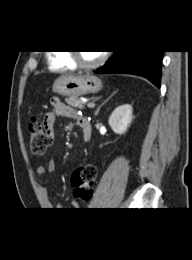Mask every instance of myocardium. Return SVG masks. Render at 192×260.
I'll return each instance as SVG.
<instances>
[{
  "mask_svg": "<svg viewBox=\"0 0 192 260\" xmlns=\"http://www.w3.org/2000/svg\"><path fill=\"white\" fill-rule=\"evenodd\" d=\"M68 54L72 62L75 64V66L84 70H92L98 68L100 65L104 63L107 57L106 53H102L101 56L95 62L85 63L81 59L80 53L78 51L72 50Z\"/></svg>",
  "mask_w": 192,
  "mask_h": 260,
  "instance_id": "f54148a6",
  "label": "myocardium"
}]
</instances>
